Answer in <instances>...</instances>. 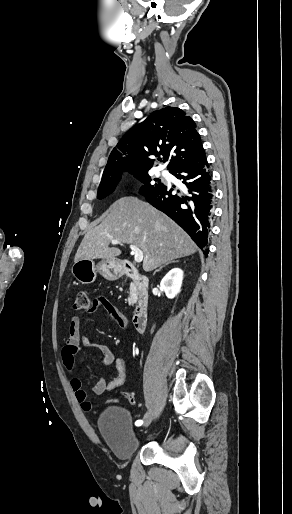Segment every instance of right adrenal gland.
<instances>
[{
    "instance_id": "right-adrenal-gland-1",
    "label": "right adrenal gland",
    "mask_w": 292,
    "mask_h": 514,
    "mask_svg": "<svg viewBox=\"0 0 292 514\" xmlns=\"http://www.w3.org/2000/svg\"><path fill=\"white\" fill-rule=\"evenodd\" d=\"M176 262H179V260H176ZM168 264H173V262H168ZM168 264H164V266H161L159 270H162V268H165V266H168ZM159 270H156V272H159Z\"/></svg>"
}]
</instances>
